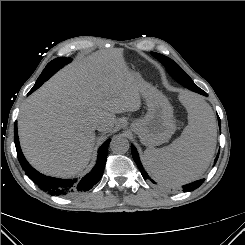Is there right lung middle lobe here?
<instances>
[{"label": "right lung middle lobe", "instance_id": "right-lung-middle-lobe-1", "mask_svg": "<svg viewBox=\"0 0 245 245\" xmlns=\"http://www.w3.org/2000/svg\"><path fill=\"white\" fill-rule=\"evenodd\" d=\"M71 60H72L71 58H66V57H60V58L54 59L53 61L47 64V66L43 70V73L46 74L47 72H52V74H54L64 65L70 63Z\"/></svg>", "mask_w": 245, "mask_h": 245}]
</instances>
